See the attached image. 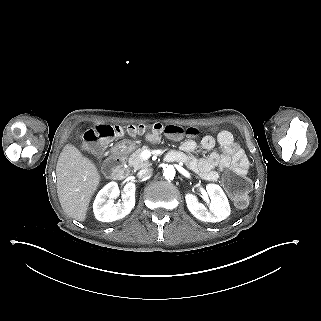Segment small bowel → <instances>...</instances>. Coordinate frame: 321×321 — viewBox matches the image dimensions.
Returning a JSON list of instances; mask_svg holds the SVG:
<instances>
[{
    "label": "small bowel",
    "instance_id": "c3829d8e",
    "mask_svg": "<svg viewBox=\"0 0 321 321\" xmlns=\"http://www.w3.org/2000/svg\"><path fill=\"white\" fill-rule=\"evenodd\" d=\"M154 134H149L150 141L156 140ZM216 143L220 146V152H212L204 158H195L188 155L197 150V143L188 139L181 144V151L174 152L178 155V161L187 165L193 172L200 175L206 181H216L219 178L217 169L224 170L231 168L234 171L246 172L249 167V162L246 154L235 142L233 135L229 131H221L217 138L211 135H206L201 140V146L205 150H211Z\"/></svg>",
    "mask_w": 321,
    "mask_h": 321
}]
</instances>
